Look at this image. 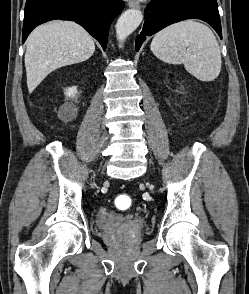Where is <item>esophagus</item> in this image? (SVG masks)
<instances>
[{
  "label": "esophagus",
  "mask_w": 249,
  "mask_h": 294,
  "mask_svg": "<svg viewBox=\"0 0 249 294\" xmlns=\"http://www.w3.org/2000/svg\"><path fill=\"white\" fill-rule=\"evenodd\" d=\"M128 6L130 8L140 9V3L137 0H130Z\"/></svg>",
  "instance_id": "esophagus-1"
}]
</instances>
